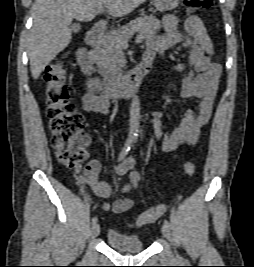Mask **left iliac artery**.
Segmentation results:
<instances>
[{"mask_svg": "<svg viewBox=\"0 0 254 267\" xmlns=\"http://www.w3.org/2000/svg\"><path fill=\"white\" fill-rule=\"evenodd\" d=\"M164 224H165L166 226H168L169 228H170V226H171L170 223H169V221L166 220V219L164 220Z\"/></svg>", "mask_w": 254, "mask_h": 267, "instance_id": "obj_1", "label": "left iliac artery"}]
</instances>
